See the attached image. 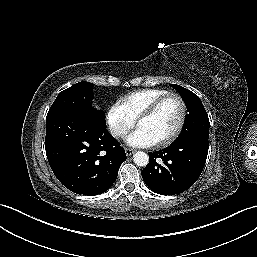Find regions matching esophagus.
Listing matches in <instances>:
<instances>
[{"instance_id": "1", "label": "esophagus", "mask_w": 257, "mask_h": 257, "mask_svg": "<svg viewBox=\"0 0 257 257\" xmlns=\"http://www.w3.org/2000/svg\"><path fill=\"white\" fill-rule=\"evenodd\" d=\"M125 153L127 156H131L134 153V150L131 148H125Z\"/></svg>"}]
</instances>
